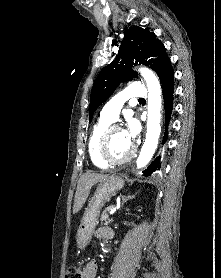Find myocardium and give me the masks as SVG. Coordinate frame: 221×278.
<instances>
[{
  "instance_id": "myocardium-1",
  "label": "myocardium",
  "mask_w": 221,
  "mask_h": 278,
  "mask_svg": "<svg viewBox=\"0 0 221 278\" xmlns=\"http://www.w3.org/2000/svg\"><path fill=\"white\" fill-rule=\"evenodd\" d=\"M115 130L122 131V128L118 125H110L102 134L98 145L99 157L108 166L123 165L129 162L135 156L136 153V148L132 146V149L129 152V154L122 159H113L109 156L108 149H109L110 137Z\"/></svg>"
}]
</instances>
